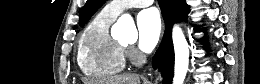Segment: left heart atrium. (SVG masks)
<instances>
[{"mask_svg":"<svg viewBox=\"0 0 260 84\" xmlns=\"http://www.w3.org/2000/svg\"><path fill=\"white\" fill-rule=\"evenodd\" d=\"M138 47L150 52L156 46L161 33V18L155 8L141 11L137 18Z\"/></svg>","mask_w":260,"mask_h":84,"instance_id":"left-heart-atrium-1","label":"left heart atrium"}]
</instances>
